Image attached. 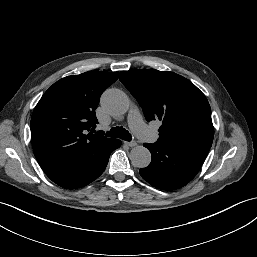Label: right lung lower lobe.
I'll list each match as a JSON object with an SVG mask.
<instances>
[{
	"label": "right lung lower lobe",
	"mask_w": 257,
	"mask_h": 257,
	"mask_svg": "<svg viewBox=\"0 0 257 257\" xmlns=\"http://www.w3.org/2000/svg\"><path fill=\"white\" fill-rule=\"evenodd\" d=\"M120 145V140L112 139L106 147L81 163L68 169L48 174V177L59 186L67 189L83 187L102 174L107 166L110 153Z\"/></svg>",
	"instance_id": "right-lung-lower-lobe-1"
}]
</instances>
